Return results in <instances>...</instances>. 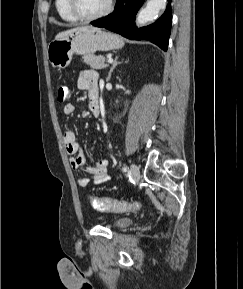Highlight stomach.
Returning <instances> with one entry per match:
<instances>
[{
    "label": "stomach",
    "instance_id": "0dacf381",
    "mask_svg": "<svg viewBox=\"0 0 243 289\" xmlns=\"http://www.w3.org/2000/svg\"><path fill=\"white\" fill-rule=\"evenodd\" d=\"M124 41L116 34L97 28L80 27L66 36L53 40L47 49L49 63L58 69L66 68L73 54L87 55L96 51L120 49Z\"/></svg>",
    "mask_w": 243,
    "mask_h": 289
}]
</instances>
